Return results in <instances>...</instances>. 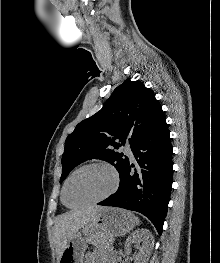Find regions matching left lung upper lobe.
Segmentation results:
<instances>
[{
	"instance_id": "left-lung-upper-lobe-1",
	"label": "left lung upper lobe",
	"mask_w": 220,
	"mask_h": 263,
	"mask_svg": "<svg viewBox=\"0 0 220 263\" xmlns=\"http://www.w3.org/2000/svg\"><path fill=\"white\" fill-rule=\"evenodd\" d=\"M163 117L152 90L139 81L125 80L100 111L80 122L67 137L60 182L74 167L93 158L111 163L121 174L129 159L115 149L126 139L132 149Z\"/></svg>"
}]
</instances>
